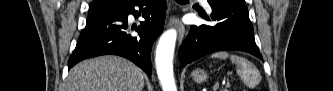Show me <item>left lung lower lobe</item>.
I'll list each match as a JSON object with an SVG mask.
<instances>
[{
  "label": "left lung lower lobe",
  "mask_w": 333,
  "mask_h": 91,
  "mask_svg": "<svg viewBox=\"0 0 333 91\" xmlns=\"http://www.w3.org/2000/svg\"><path fill=\"white\" fill-rule=\"evenodd\" d=\"M214 26L193 25L179 50L182 66L216 51H243L259 59L262 55L254 40L244 0H208ZM209 20L208 17H204Z\"/></svg>",
  "instance_id": "0a47b994"
}]
</instances>
